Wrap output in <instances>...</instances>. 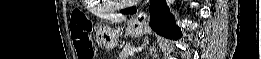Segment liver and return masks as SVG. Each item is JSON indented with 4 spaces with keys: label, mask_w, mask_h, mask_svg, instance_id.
<instances>
[{
    "label": "liver",
    "mask_w": 261,
    "mask_h": 59,
    "mask_svg": "<svg viewBox=\"0 0 261 59\" xmlns=\"http://www.w3.org/2000/svg\"><path fill=\"white\" fill-rule=\"evenodd\" d=\"M98 16L100 18L106 19L108 21H111L113 23H119V22H123L126 20V16L121 15V14H102L99 13Z\"/></svg>",
    "instance_id": "obj_1"
}]
</instances>
